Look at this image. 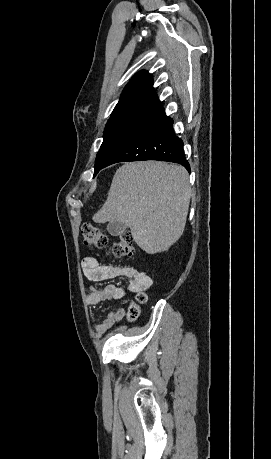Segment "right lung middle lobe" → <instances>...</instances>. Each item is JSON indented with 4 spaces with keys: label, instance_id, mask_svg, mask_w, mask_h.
Listing matches in <instances>:
<instances>
[{
    "label": "right lung middle lobe",
    "instance_id": "right-lung-middle-lobe-1",
    "mask_svg": "<svg viewBox=\"0 0 271 459\" xmlns=\"http://www.w3.org/2000/svg\"><path fill=\"white\" fill-rule=\"evenodd\" d=\"M157 116V113L150 111L111 114L104 130L103 143L97 153L94 177L125 142Z\"/></svg>",
    "mask_w": 271,
    "mask_h": 459
}]
</instances>
